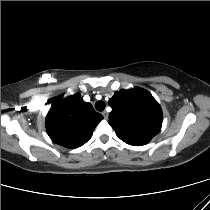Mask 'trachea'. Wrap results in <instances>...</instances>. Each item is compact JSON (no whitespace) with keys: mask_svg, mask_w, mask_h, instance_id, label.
<instances>
[{"mask_svg":"<svg viewBox=\"0 0 210 210\" xmlns=\"http://www.w3.org/2000/svg\"><path fill=\"white\" fill-rule=\"evenodd\" d=\"M95 108L97 111H103L105 109V103L103 101H98L95 103Z\"/></svg>","mask_w":210,"mask_h":210,"instance_id":"3493384b","label":"trachea"}]
</instances>
